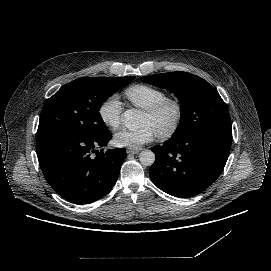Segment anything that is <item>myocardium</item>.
Listing matches in <instances>:
<instances>
[{
  "label": "myocardium",
  "mask_w": 271,
  "mask_h": 271,
  "mask_svg": "<svg viewBox=\"0 0 271 271\" xmlns=\"http://www.w3.org/2000/svg\"><path fill=\"white\" fill-rule=\"evenodd\" d=\"M167 109H172L173 119L166 128H162L156 133L159 137L171 136L179 127L183 118V109L180 102L173 98H166L144 110V113L149 116L157 117Z\"/></svg>",
  "instance_id": "myocardium-1"
}]
</instances>
